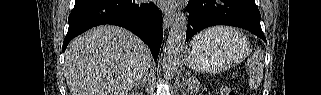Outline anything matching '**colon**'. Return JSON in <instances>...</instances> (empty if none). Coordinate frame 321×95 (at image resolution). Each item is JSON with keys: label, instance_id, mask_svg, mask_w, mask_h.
Wrapping results in <instances>:
<instances>
[{"label": "colon", "instance_id": "colon-1", "mask_svg": "<svg viewBox=\"0 0 321 95\" xmlns=\"http://www.w3.org/2000/svg\"><path fill=\"white\" fill-rule=\"evenodd\" d=\"M221 95H235V92L229 87H223L220 91Z\"/></svg>", "mask_w": 321, "mask_h": 95}]
</instances>
